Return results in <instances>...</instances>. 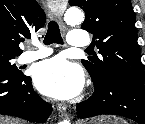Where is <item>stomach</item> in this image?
I'll use <instances>...</instances> for the list:
<instances>
[{
	"label": "stomach",
	"instance_id": "stomach-1",
	"mask_svg": "<svg viewBox=\"0 0 145 124\" xmlns=\"http://www.w3.org/2000/svg\"><path fill=\"white\" fill-rule=\"evenodd\" d=\"M81 124H125V121L114 116H104Z\"/></svg>",
	"mask_w": 145,
	"mask_h": 124
}]
</instances>
